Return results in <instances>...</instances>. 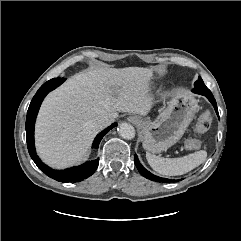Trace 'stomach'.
<instances>
[{
    "instance_id": "1",
    "label": "stomach",
    "mask_w": 241,
    "mask_h": 241,
    "mask_svg": "<svg viewBox=\"0 0 241 241\" xmlns=\"http://www.w3.org/2000/svg\"><path fill=\"white\" fill-rule=\"evenodd\" d=\"M198 109V101L187 91L175 92L158 117L151 121L138 117L142 144L149 152L165 151L183 136Z\"/></svg>"
}]
</instances>
